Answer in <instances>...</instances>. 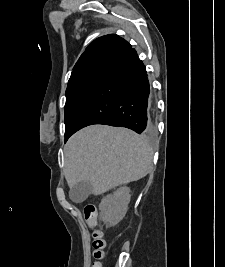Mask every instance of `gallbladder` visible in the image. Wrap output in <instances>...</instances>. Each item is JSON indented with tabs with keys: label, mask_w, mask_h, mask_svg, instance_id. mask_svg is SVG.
<instances>
[{
	"label": "gallbladder",
	"mask_w": 225,
	"mask_h": 267,
	"mask_svg": "<svg viewBox=\"0 0 225 267\" xmlns=\"http://www.w3.org/2000/svg\"><path fill=\"white\" fill-rule=\"evenodd\" d=\"M92 192V184L88 181H81L70 188V199L75 203H81L87 199Z\"/></svg>",
	"instance_id": "bac80fb5"
}]
</instances>
